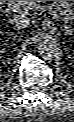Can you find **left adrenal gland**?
Masks as SVG:
<instances>
[{
    "instance_id": "a2214340",
    "label": "left adrenal gland",
    "mask_w": 74,
    "mask_h": 122,
    "mask_svg": "<svg viewBox=\"0 0 74 122\" xmlns=\"http://www.w3.org/2000/svg\"><path fill=\"white\" fill-rule=\"evenodd\" d=\"M54 18L58 19V16L56 15L54 16ZM64 29L67 33L70 32L69 27L67 25H64Z\"/></svg>"
}]
</instances>
